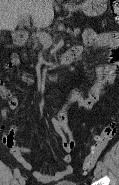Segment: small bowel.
Instances as JSON below:
<instances>
[{
    "instance_id": "obj_1",
    "label": "small bowel",
    "mask_w": 119,
    "mask_h": 185,
    "mask_svg": "<svg viewBox=\"0 0 119 185\" xmlns=\"http://www.w3.org/2000/svg\"><path fill=\"white\" fill-rule=\"evenodd\" d=\"M83 41L86 46H91L98 50H107L108 63L97 69V80L88 85L86 97H81L77 90L70 92L68 97L69 108L73 104H77L80 108H91L101 97L103 89L106 85L112 84L115 80L116 70L119 65V33L116 31L108 32H96L93 29H86L83 32ZM83 50L82 46H77ZM20 65V60L17 56H14L11 61L6 64L8 70ZM10 76L7 77L6 81L0 83L1 96L9 101V107L13 111H17L19 107V101L15 96L14 92L6 85V82L10 80ZM20 79L27 83L32 84L33 78L28 73H23ZM4 117L9 116L8 108H4L2 111ZM51 123L55 131L62 138V147L64 150V155L62 161L65 166L63 169L55 173H43L36 169L32 164L27 162L23 154L31 152V149L27 146L18 147L15 144V134L18 131V127L14 124L8 133H4L2 140L3 143L10 149L13 156L22 164V166L30 171L32 175L42 183H52L56 182L62 178L69 176L73 172V168L70 165L72 160L70 152L75 146L73 140L72 132L68 125L65 116L60 118H53Z\"/></svg>"
}]
</instances>
